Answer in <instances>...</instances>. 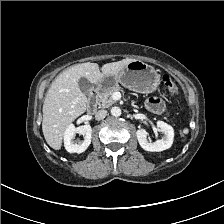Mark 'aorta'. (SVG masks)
Wrapping results in <instances>:
<instances>
[{
  "label": "aorta",
  "instance_id": "762f6f07",
  "mask_svg": "<svg viewBox=\"0 0 224 224\" xmlns=\"http://www.w3.org/2000/svg\"><path fill=\"white\" fill-rule=\"evenodd\" d=\"M111 114L115 117H119L121 115V109L119 107H112Z\"/></svg>",
  "mask_w": 224,
  "mask_h": 224
}]
</instances>
